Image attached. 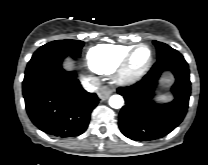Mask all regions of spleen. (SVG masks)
Here are the masks:
<instances>
[{
  "mask_svg": "<svg viewBox=\"0 0 208 165\" xmlns=\"http://www.w3.org/2000/svg\"><path fill=\"white\" fill-rule=\"evenodd\" d=\"M158 100H159V101H169V100H171V98L168 97V96H160V97L158 98Z\"/></svg>",
  "mask_w": 208,
  "mask_h": 165,
  "instance_id": "spleen-1",
  "label": "spleen"
}]
</instances>
